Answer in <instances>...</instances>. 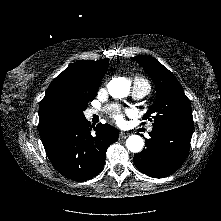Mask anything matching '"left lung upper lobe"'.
Instances as JSON below:
<instances>
[{
    "label": "left lung upper lobe",
    "mask_w": 221,
    "mask_h": 221,
    "mask_svg": "<svg viewBox=\"0 0 221 221\" xmlns=\"http://www.w3.org/2000/svg\"><path fill=\"white\" fill-rule=\"evenodd\" d=\"M132 59L143 67L157 87L156 100L143 120H153V128L192 131L191 104L173 73L153 57L136 56Z\"/></svg>",
    "instance_id": "1"
}]
</instances>
